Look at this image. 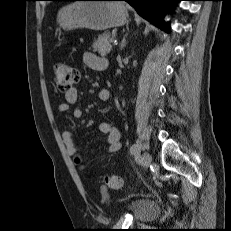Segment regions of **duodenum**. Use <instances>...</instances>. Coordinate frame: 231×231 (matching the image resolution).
<instances>
[{
  "label": "duodenum",
  "instance_id": "obj_1",
  "mask_svg": "<svg viewBox=\"0 0 231 231\" xmlns=\"http://www.w3.org/2000/svg\"><path fill=\"white\" fill-rule=\"evenodd\" d=\"M107 68V65L106 64H104L103 66H101V70H105Z\"/></svg>",
  "mask_w": 231,
  "mask_h": 231
}]
</instances>
